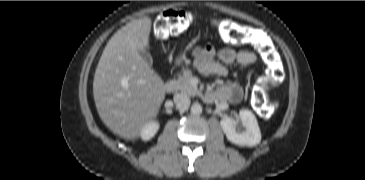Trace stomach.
Returning a JSON list of instances; mask_svg holds the SVG:
<instances>
[{
	"mask_svg": "<svg viewBox=\"0 0 365 180\" xmlns=\"http://www.w3.org/2000/svg\"><path fill=\"white\" fill-rule=\"evenodd\" d=\"M183 62V57L182 56H180V57H178L177 59H176V63L177 64H181Z\"/></svg>",
	"mask_w": 365,
	"mask_h": 180,
	"instance_id": "1",
	"label": "stomach"
}]
</instances>
